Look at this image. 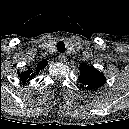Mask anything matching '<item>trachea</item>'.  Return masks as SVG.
Masks as SVG:
<instances>
[{"mask_svg":"<svg viewBox=\"0 0 129 129\" xmlns=\"http://www.w3.org/2000/svg\"><path fill=\"white\" fill-rule=\"evenodd\" d=\"M57 50L60 52V53H64L65 52V44H64V42L63 41H59L58 43H57Z\"/></svg>","mask_w":129,"mask_h":129,"instance_id":"trachea-1","label":"trachea"}]
</instances>
